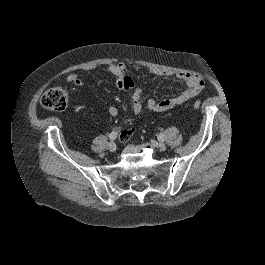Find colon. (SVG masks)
Instances as JSON below:
<instances>
[{"label":"colon","instance_id":"5ec220e1","mask_svg":"<svg viewBox=\"0 0 265 265\" xmlns=\"http://www.w3.org/2000/svg\"><path fill=\"white\" fill-rule=\"evenodd\" d=\"M68 100L69 94L65 88L53 87L42 95L41 104L44 108L51 111H63L67 107ZM200 106V101L193 103L194 109H198Z\"/></svg>","mask_w":265,"mask_h":265}]
</instances>
